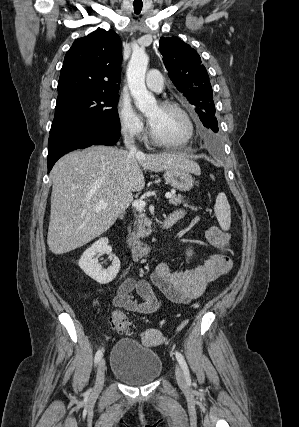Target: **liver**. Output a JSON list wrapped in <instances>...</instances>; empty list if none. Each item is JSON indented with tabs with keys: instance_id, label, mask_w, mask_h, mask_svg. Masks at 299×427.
<instances>
[{
	"instance_id": "6515ba94",
	"label": "liver",
	"mask_w": 299,
	"mask_h": 427,
	"mask_svg": "<svg viewBox=\"0 0 299 427\" xmlns=\"http://www.w3.org/2000/svg\"><path fill=\"white\" fill-rule=\"evenodd\" d=\"M141 166L150 171L183 168L196 175L199 165L174 154H132L110 146H91L63 156L51 171L53 181L47 244L52 253L77 249L107 231L145 186ZM108 203L103 209L100 204Z\"/></svg>"
}]
</instances>
